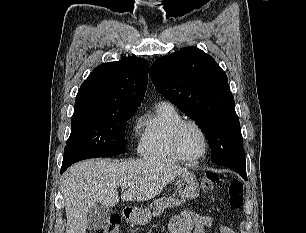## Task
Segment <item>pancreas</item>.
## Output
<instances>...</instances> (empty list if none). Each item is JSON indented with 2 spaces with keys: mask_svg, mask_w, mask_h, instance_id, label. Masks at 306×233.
I'll return each mask as SVG.
<instances>
[{
  "mask_svg": "<svg viewBox=\"0 0 306 233\" xmlns=\"http://www.w3.org/2000/svg\"><path fill=\"white\" fill-rule=\"evenodd\" d=\"M182 204L181 200L172 198V197H162L155 199L153 203L150 205L153 208V216H158L161 214L167 207L179 206Z\"/></svg>",
  "mask_w": 306,
  "mask_h": 233,
  "instance_id": "obj_1",
  "label": "pancreas"
}]
</instances>
